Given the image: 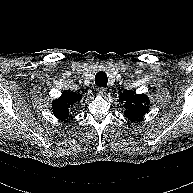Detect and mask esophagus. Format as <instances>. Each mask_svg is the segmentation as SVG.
<instances>
[{"label": "esophagus", "mask_w": 193, "mask_h": 193, "mask_svg": "<svg viewBox=\"0 0 193 193\" xmlns=\"http://www.w3.org/2000/svg\"><path fill=\"white\" fill-rule=\"evenodd\" d=\"M96 91L99 95H104L107 92V89L105 87L99 86L96 88Z\"/></svg>", "instance_id": "obj_1"}]
</instances>
